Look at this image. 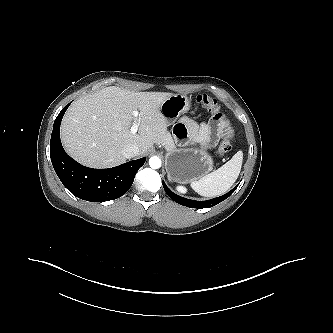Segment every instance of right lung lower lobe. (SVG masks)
<instances>
[{
  "instance_id": "obj_1",
  "label": "right lung lower lobe",
  "mask_w": 333,
  "mask_h": 333,
  "mask_svg": "<svg viewBox=\"0 0 333 333\" xmlns=\"http://www.w3.org/2000/svg\"><path fill=\"white\" fill-rule=\"evenodd\" d=\"M68 107L69 104L57 116L50 140V157L56 174L63 185L80 199L104 202L121 197L131 187L146 158L109 169H92L79 164L66 154L60 141V124Z\"/></svg>"
}]
</instances>
